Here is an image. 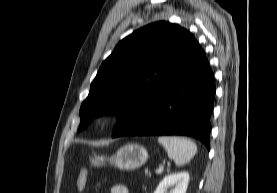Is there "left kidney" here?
<instances>
[{"label":"left kidney","instance_id":"left-kidney-1","mask_svg":"<svg viewBox=\"0 0 277 193\" xmlns=\"http://www.w3.org/2000/svg\"><path fill=\"white\" fill-rule=\"evenodd\" d=\"M188 182V172L170 174L163 178L154 193H168L169 187H173L169 193H186Z\"/></svg>","mask_w":277,"mask_h":193}]
</instances>
